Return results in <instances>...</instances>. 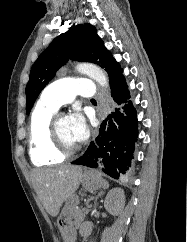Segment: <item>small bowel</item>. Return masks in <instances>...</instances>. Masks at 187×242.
Segmentation results:
<instances>
[{"mask_svg":"<svg viewBox=\"0 0 187 242\" xmlns=\"http://www.w3.org/2000/svg\"><path fill=\"white\" fill-rule=\"evenodd\" d=\"M91 225L89 223H83L81 226H80V233L83 237H88L91 233Z\"/></svg>","mask_w":187,"mask_h":242,"instance_id":"1","label":"small bowel"}]
</instances>
